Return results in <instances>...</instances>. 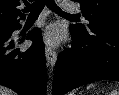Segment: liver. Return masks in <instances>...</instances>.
I'll list each match as a JSON object with an SVG mask.
<instances>
[{
	"label": "liver",
	"instance_id": "6515ba94",
	"mask_svg": "<svg viewBox=\"0 0 119 95\" xmlns=\"http://www.w3.org/2000/svg\"><path fill=\"white\" fill-rule=\"evenodd\" d=\"M0 95H15V93L8 88L0 86Z\"/></svg>",
	"mask_w": 119,
	"mask_h": 95
}]
</instances>
